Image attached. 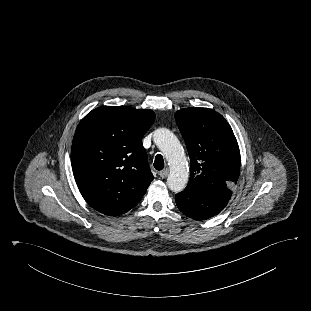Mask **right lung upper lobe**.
I'll return each instance as SVG.
<instances>
[{
  "mask_svg": "<svg viewBox=\"0 0 311 311\" xmlns=\"http://www.w3.org/2000/svg\"><path fill=\"white\" fill-rule=\"evenodd\" d=\"M154 119L152 110L102 106L81 120L71 163L79 191L92 208L119 216L141 200L154 178L142 145Z\"/></svg>",
  "mask_w": 311,
  "mask_h": 311,
  "instance_id": "cb5924a9",
  "label": "right lung upper lobe"
}]
</instances>
